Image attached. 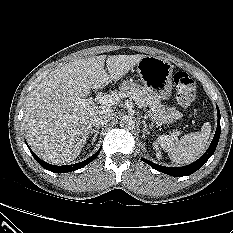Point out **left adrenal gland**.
Returning a JSON list of instances; mask_svg holds the SVG:
<instances>
[{
    "label": "left adrenal gland",
    "instance_id": "1",
    "mask_svg": "<svg viewBox=\"0 0 233 233\" xmlns=\"http://www.w3.org/2000/svg\"><path fill=\"white\" fill-rule=\"evenodd\" d=\"M142 124H143V136L142 137L145 138V135H149L150 132L148 131V127H147L145 120H142Z\"/></svg>",
    "mask_w": 233,
    "mask_h": 233
}]
</instances>
